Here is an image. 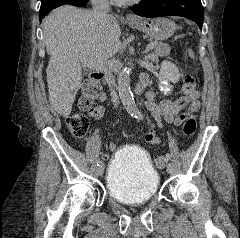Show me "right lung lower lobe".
<instances>
[{"label":"right lung lower lobe","mask_w":240,"mask_h":238,"mask_svg":"<svg viewBox=\"0 0 240 238\" xmlns=\"http://www.w3.org/2000/svg\"><path fill=\"white\" fill-rule=\"evenodd\" d=\"M87 2H88V0H70L68 3H62V2H61V3H58L53 9H55V8L61 6V5H64V4H70V5H73V6L82 7V6L86 5ZM51 10H52V9H51ZM51 10H50V11H51ZM50 11H49V12H50ZM49 12H47V13L44 14V15H40V16H39L40 22L42 21V19H43Z\"/></svg>","instance_id":"1"}]
</instances>
